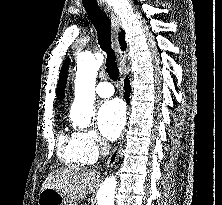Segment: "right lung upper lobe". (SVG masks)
Instances as JSON below:
<instances>
[{"label": "right lung upper lobe", "instance_id": "obj_1", "mask_svg": "<svg viewBox=\"0 0 222 205\" xmlns=\"http://www.w3.org/2000/svg\"><path fill=\"white\" fill-rule=\"evenodd\" d=\"M119 43L121 45V49L124 50L126 48V43L124 40V32H120L119 34ZM69 63H70V59H67L61 68L59 84L57 87V97L59 99H63V95H64L63 89L65 87V78H66Z\"/></svg>", "mask_w": 222, "mask_h": 205}]
</instances>
